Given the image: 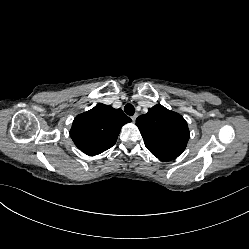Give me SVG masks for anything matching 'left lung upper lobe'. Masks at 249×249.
Masks as SVG:
<instances>
[{
  "instance_id": "obj_1",
  "label": "left lung upper lobe",
  "mask_w": 249,
  "mask_h": 249,
  "mask_svg": "<svg viewBox=\"0 0 249 249\" xmlns=\"http://www.w3.org/2000/svg\"><path fill=\"white\" fill-rule=\"evenodd\" d=\"M146 148L158 159L170 161L186 148L189 129L178 113L157 104L136 119Z\"/></svg>"
}]
</instances>
